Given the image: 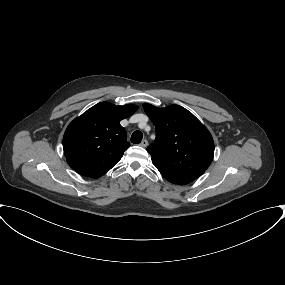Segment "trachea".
I'll use <instances>...</instances> for the list:
<instances>
[{
  "label": "trachea",
  "instance_id": "3493384b",
  "mask_svg": "<svg viewBox=\"0 0 285 285\" xmlns=\"http://www.w3.org/2000/svg\"><path fill=\"white\" fill-rule=\"evenodd\" d=\"M143 134L141 131H134L131 135V142L134 144H139L142 141Z\"/></svg>",
  "mask_w": 285,
  "mask_h": 285
}]
</instances>
